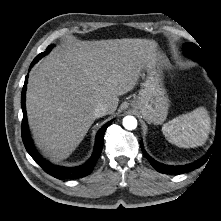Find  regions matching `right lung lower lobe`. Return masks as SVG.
<instances>
[{
    "label": "right lung lower lobe",
    "instance_id": "right-lung-lower-lobe-1",
    "mask_svg": "<svg viewBox=\"0 0 221 221\" xmlns=\"http://www.w3.org/2000/svg\"><path fill=\"white\" fill-rule=\"evenodd\" d=\"M43 57L42 54H39L31 63L32 67L39 59ZM27 85V77L25 78V83L22 89V96H21V107L23 111V120H22V139L25 145L27 152L30 156L35 160L37 164L43 168L45 172L50 174L51 176L57 179H77L90 174L100 156L103 147V138L106 128L111 124L112 121L108 122L105 126H103L96 137L95 148L92 157L89 161L85 164L77 167H60L53 165L43 159L39 153L35 150L32 141L29 136V129L27 124V117H26V109H25V91Z\"/></svg>",
    "mask_w": 221,
    "mask_h": 221
}]
</instances>
